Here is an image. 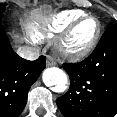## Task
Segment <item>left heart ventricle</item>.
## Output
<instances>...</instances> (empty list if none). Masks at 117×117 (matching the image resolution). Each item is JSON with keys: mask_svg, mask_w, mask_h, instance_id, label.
Segmentation results:
<instances>
[{"mask_svg": "<svg viewBox=\"0 0 117 117\" xmlns=\"http://www.w3.org/2000/svg\"><path fill=\"white\" fill-rule=\"evenodd\" d=\"M96 30V23L93 20L83 22L74 32L71 38V46L74 48H81L85 46Z\"/></svg>", "mask_w": 117, "mask_h": 117, "instance_id": "b2bd125f", "label": "left heart ventricle"}]
</instances>
